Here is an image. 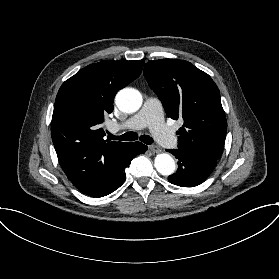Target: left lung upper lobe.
<instances>
[{
	"label": "left lung upper lobe",
	"mask_w": 279,
	"mask_h": 279,
	"mask_svg": "<svg viewBox=\"0 0 279 279\" xmlns=\"http://www.w3.org/2000/svg\"><path fill=\"white\" fill-rule=\"evenodd\" d=\"M144 76L168 117H182L178 148L218 160L227 133L219 90L212 78L185 60L148 61Z\"/></svg>",
	"instance_id": "obj_1"
}]
</instances>
